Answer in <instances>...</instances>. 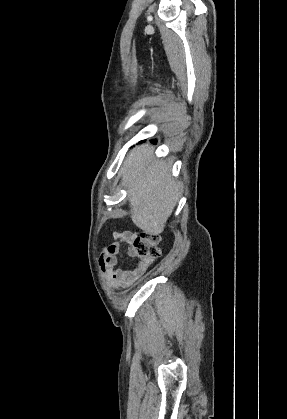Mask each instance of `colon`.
Listing matches in <instances>:
<instances>
[{"instance_id":"obj_1","label":"colon","mask_w":287,"mask_h":419,"mask_svg":"<svg viewBox=\"0 0 287 419\" xmlns=\"http://www.w3.org/2000/svg\"><path fill=\"white\" fill-rule=\"evenodd\" d=\"M159 237L154 234L140 233L134 236L130 247L134 256L140 260L139 266L145 269L150 262L160 256Z\"/></svg>"}]
</instances>
